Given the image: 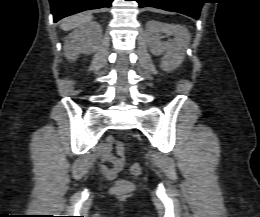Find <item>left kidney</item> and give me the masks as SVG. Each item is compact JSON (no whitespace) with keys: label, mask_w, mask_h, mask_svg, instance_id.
<instances>
[{"label":"left kidney","mask_w":260,"mask_h":217,"mask_svg":"<svg viewBox=\"0 0 260 217\" xmlns=\"http://www.w3.org/2000/svg\"><path fill=\"white\" fill-rule=\"evenodd\" d=\"M149 29V48L153 55L159 56L165 53L161 68L166 72H171L178 68L184 57L186 49V41L178 36V28L175 26L164 25L155 21L148 22ZM165 33L167 35H175L173 42H161L159 35Z\"/></svg>","instance_id":"5707ae66"}]
</instances>
